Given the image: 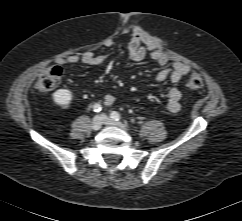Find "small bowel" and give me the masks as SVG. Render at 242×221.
<instances>
[{"label":"small bowel","instance_id":"1","mask_svg":"<svg viewBox=\"0 0 242 221\" xmlns=\"http://www.w3.org/2000/svg\"><path fill=\"white\" fill-rule=\"evenodd\" d=\"M129 58L133 61H141L149 55L160 67L155 80L163 82L169 79L172 83H178L189 72V67L181 62L169 64V58L160 49L156 48L150 37L143 31L135 30L127 46ZM104 61L101 55H95L86 51L81 55H69L60 57L56 60L59 65H74L82 62L87 65H99ZM181 91L177 87H171L167 92V102L165 110L169 113H177L180 108ZM115 102V96L112 93H106L103 98L105 106H111Z\"/></svg>","mask_w":242,"mask_h":221}]
</instances>
